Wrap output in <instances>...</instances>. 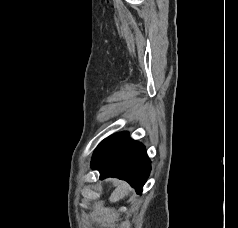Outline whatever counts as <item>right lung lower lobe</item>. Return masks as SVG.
Returning <instances> with one entry per match:
<instances>
[{
	"label": "right lung lower lobe",
	"instance_id": "98d812e1",
	"mask_svg": "<svg viewBox=\"0 0 238 228\" xmlns=\"http://www.w3.org/2000/svg\"><path fill=\"white\" fill-rule=\"evenodd\" d=\"M92 168L99 170L100 179H124L141 193L151 165L144 145L130 139L128 132H120L98 145L92 157Z\"/></svg>",
	"mask_w": 238,
	"mask_h": 228
}]
</instances>
